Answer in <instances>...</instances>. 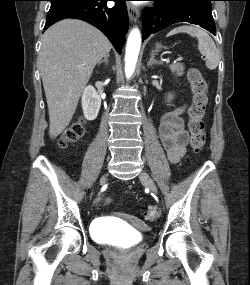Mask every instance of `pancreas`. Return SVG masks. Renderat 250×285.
Listing matches in <instances>:
<instances>
[{
	"label": "pancreas",
	"instance_id": "cf45deb5",
	"mask_svg": "<svg viewBox=\"0 0 250 285\" xmlns=\"http://www.w3.org/2000/svg\"><path fill=\"white\" fill-rule=\"evenodd\" d=\"M170 70L176 76H182L184 74L185 67L181 63H174L170 65Z\"/></svg>",
	"mask_w": 250,
	"mask_h": 285
}]
</instances>
